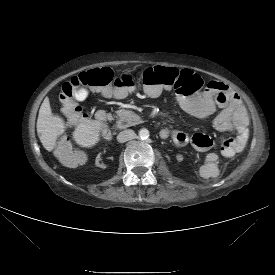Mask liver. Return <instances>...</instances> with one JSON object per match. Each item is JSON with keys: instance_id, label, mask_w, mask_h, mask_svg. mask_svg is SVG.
Instances as JSON below:
<instances>
[{"instance_id": "obj_1", "label": "liver", "mask_w": 275, "mask_h": 275, "mask_svg": "<svg viewBox=\"0 0 275 275\" xmlns=\"http://www.w3.org/2000/svg\"><path fill=\"white\" fill-rule=\"evenodd\" d=\"M105 127L107 124L102 121L83 119L72 133L73 140L80 147L91 148L99 142L100 132ZM66 128L64 119L52 113L49 99H44L37 119V134L43 147L47 151H52L58 137Z\"/></svg>"}]
</instances>
